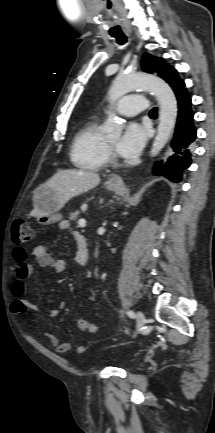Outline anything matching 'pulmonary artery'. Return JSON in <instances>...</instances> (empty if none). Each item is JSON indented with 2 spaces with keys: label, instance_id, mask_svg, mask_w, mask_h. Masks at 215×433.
I'll use <instances>...</instances> for the list:
<instances>
[{
  "label": "pulmonary artery",
  "instance_id": "e3ab8cb5",
  "mask_svg": "<svg viewBox=\"0 0 215 433\" xmlns=\"http://www.w3.org/2000/svg\"><path fill=\"white\" fill-rule=\"evenodd\" d=\"M150 109L147 99L142 94H129L116 105V110L125 116H133Z\"/></svg>",
  "mask_w": 215,
  "mask_h": 433
}]
</instances>
